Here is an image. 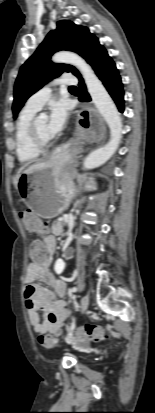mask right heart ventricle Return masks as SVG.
Segmentation results:
<instances>
[{"instance_id":"obj_1","label":"right heart ventricle","mask_w":155,"mask_h":413,"mask_svg":"<svg viewBox=\"0 0 155 413\" xmlns=\"http://www.w3.org/2000/svg\"><path fill=\"white\" fill-rule=\"evenodd\" d=\"M37 111L25 107L17 120L15 128V151L21 163H29L37 159L40 150H37L29 141L28 130Z\"/></svg>"}]
</instances>
